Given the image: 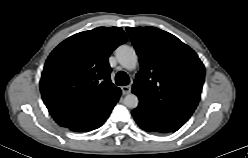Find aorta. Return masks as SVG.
<instances>
[{
  "label": "aorta",
  "mask_w": 248,
  "mask_h": 158,
  "mask_svg": "<svg viewBox=\"0 0 248 158\" xmlns=\"http://www.w3.org/2000/svg\"><path fill=\"white\" fill-rule=\"evenodd\" d=\"M116 58L121 66L128 70L135 69L138 58L133 47L128 45H121L115 51ZM139 99L135 94H128L124 98V105L130 109L138 106Z\"/></svg>",
  "instance_id": "obj_1"
}]
</instances>
